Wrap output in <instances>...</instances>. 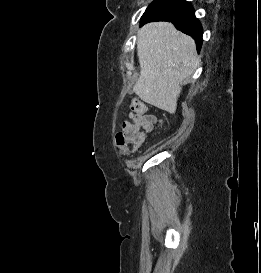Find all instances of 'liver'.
I'll return each mask as SVG.
<instances>
[{
	"label": "liver",
	"instance_id": "6515ba94",
	"mask_svg": "<svg viewBox=\"0 0 261 273\" xmlns=\"http://www.w3.org/2000/svg\"><path fill=\"white\" fill-rule=\"evenodd\" d=\"M140 75L133 91L144 102L175 113L182 83L200 65L195 41L168 22H153L138 31Z\"/></svg>",
	"mask_w": 261,
	"mask_h": 273
}]
</instances>
